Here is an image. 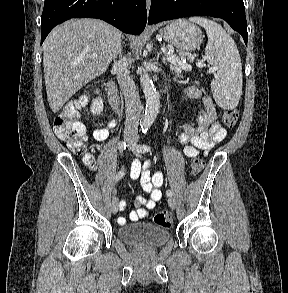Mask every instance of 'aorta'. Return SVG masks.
Wrapping results in <instances>:
<instances>
[{
  "mask_svg": "<svg viewBox=\"0 0 288 293\" xmlns=\"http://www.w3.org/2000/svg\"><path fill=\"white\" fill-rule=\"evenodd\" d=\"M140 83L146 99L145 114L140 122V125L143 130H148L159 113L160 95L156 90L148 72H142Z\"/></svg>",
  "mask_w": 288,
  "mask_h": 293,
  "instance_id": "1",
  "label": "aorta"
}]
</instances>
